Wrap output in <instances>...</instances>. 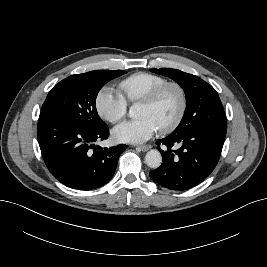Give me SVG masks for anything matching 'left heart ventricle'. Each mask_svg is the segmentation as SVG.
I'll return each mask as SVG.
<instances>
[{
  "instance_id": "obj_1",
  "label": "left heart ventricle",
  "mask_w": 267,
  "mask_h": 267,
  "mask_svg": "<svg viewBox=\"0 0 267 267\" xmlns=\"http://www.w3.org/2000/svg\"><path fill=\"white\" fill-rule=\"evenodd\" d=\"M180 107V98L178 91L173 88H167L153 105L139 104L136 115L138 117H149L158 127V129L168 125L177 115Z\"/></svg>"
}]
</instances>
